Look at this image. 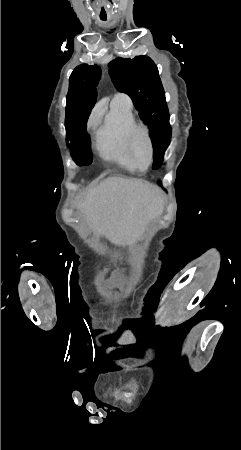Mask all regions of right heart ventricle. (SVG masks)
Returning a JSON list of instances; mask_svg holds the SVG:
<instances>
[{"instance_id": "right-heart-ventricle-1", "label": "right heart ventricle", "mask_w": 241, "mask_h": 450, "mask_svg": "<svg viewBox=\"0 0 241 450\" xmlns=\"http://www.w3.org/2000/svg\"><path fill=\"white\" fill-rule=\"evenodd\" d=\"M134 117L129 102L114 100L110 111L95 132L96 147L102 157L113 159L125 166H131L133 153L126 148L124 139L131 135L129 127L134 125Z\"/></svg>"}]
</instances>
